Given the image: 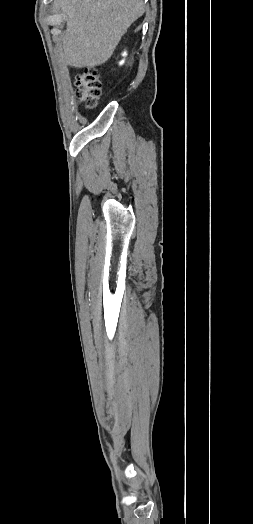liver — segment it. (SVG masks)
Wrapping results in <instances>:
<instances>
[{"label":"liver","instance_id":"1","mask_svg":"<svg viewBox=\"0 0 253 524\" xmlns=\"http://www.w3.org/2000/svg\"><path fill=\"white\" fill-rule=\"evenodd\" d=\"M58 4L66 21L64 58L75 68L108 61L130 25L144 13L142 0H59Z\"/></svg>","mask_w":253,"mask_h":524}]
</instances>
